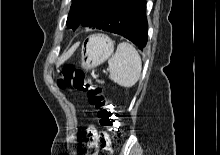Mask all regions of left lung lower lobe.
I'll list each match as a JSON object with an SVG mask.
<instances>
[{
    "label": "left lung lower lobe",
    "instance_id": "1",
    "mask_svg": "<svg viewBox=\"0 0 220 155\" xmlns=\"http://www.w3.org/2000/svg\"><path fill=\"white\" fill-rule=\"evenodd\" d=\"M79 25L119 34L143 50L148 38L145 0H97Z\"/></svg>",
    "mask_w": 220,
    "mask_h": 155
}]
</instances>
